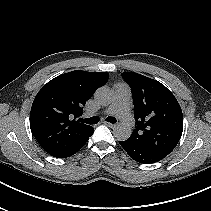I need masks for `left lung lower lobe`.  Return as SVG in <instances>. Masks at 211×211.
Masks as SVG:
<instances>
[{"label": "left lung lower lobe", "instance_id": "0a47b994", "mask_svg": "<svg viewBox=\"0 0 211 211\" xmlns=\"http://www.w3.org/2000/svg\"><path fill=\"white\" fill-rule=\"evenodd\" d=\"M119 144L123 149L132 157L135 161L139 163H155L160 161L162 158L152 152L145 150L131 143L130 141H119Z\"/></svg>", "mask_w": 211, "mask_h": 211}]
</instances>
